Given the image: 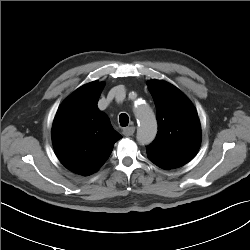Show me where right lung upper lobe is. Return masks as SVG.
<instances>
[{"label":"right lung upper lobe","mask_w":250,"mask_h":250,"mask_svg":"<svg viewBox=\"0 0 250 250\" xmlns=\"http://www.w3.org/2000/svg\"><path fill=\"white\" fill-rule=\"evenodd\" d=\"M102 82H91L74 91L58 109L52 142L62 164L81 175L96 172L108 159L122 136L106 114L97 108Z\"/></svg>","instance_id":"1"}]
</instances>
